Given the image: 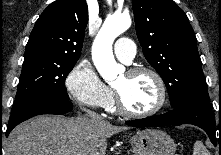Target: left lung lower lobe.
I'll return each instance as SVG.
<instances>
[{
  "instance_id": "obj_1",
  "label": "left lung lower lobe",
  "mask_w": 221,
  "mask_h": 155,
  "mask_svg": "<svg viewBox=\"0 0 221 155\" xmlns=\"http://www.w3.org/2000/svg\"><path fill=\"white\" fill-rule=\"evenodd\" d=\"M133 127H158L164 125L193 124L202 128L216 145L215 116L211 111L207 91L195 92L186 97L174 110L162 115L127 121ZM221 143V137H219Z\"/></svg>"
}]
</instances>
